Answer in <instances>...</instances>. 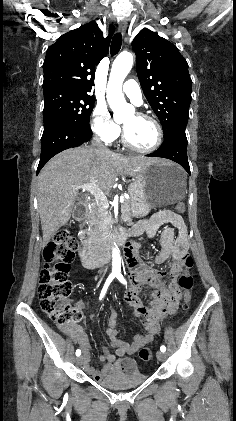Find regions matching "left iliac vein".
Returning a JSON list of instances; mask_svg holds the SVG:
<instances>
[{"instance_id":"obj_1","label":"left iliac vein","mask_w":236,"mask_h":421,"mask_svg":"<svg viewBox=\"0 0 236 421\" xmlns=\"http://www.w3.org/2000/svg\"><path fill=\"white\" fill-rule=\"evenodd\" d=\"M156 357H157L158 360H164L166 358V354L163 353L162 351H158L156 353Z\"/></svg>"}]
</instances>
